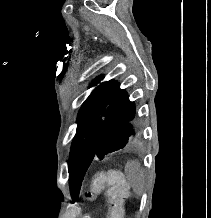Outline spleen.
Here are the masks:
<instances>
[{
  "mask_svg": "<svg viewBox=\"0 0 211 218\" xmlns=\"http://www.w3.org/2000/svg\"><path fill=\"white\" fill-rule=\"evenodd\" d=\"M127 180L137 196H142L144 190V172L137 160H129L125 166Z\"/></svg>",
  "mask_w": 211,
  "mask_h": 218,
  "instance_id": "3e777b00",
  "label": "spleen"
}]
</instances>
